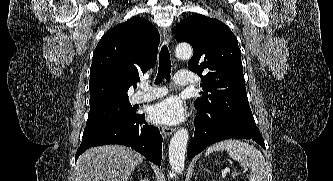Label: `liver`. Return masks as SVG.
Returning <instances> with one entry per match:
<instances>
[{
  "label": "liver",
  "instance_id": "1",
  "mask_svg": "<svg viewBox=\"0 0 333 181\" xmlns=\"http://www.w3.org/2000/svg\"><path fill=\"white\" fill-rule=\"evenodd\" d=\"M144 157L122 145L86 150L77 160L74 181H127Z\"/></svg>",
  "mask_w": 333,
  "mask_h": 181
}]
</instances>
